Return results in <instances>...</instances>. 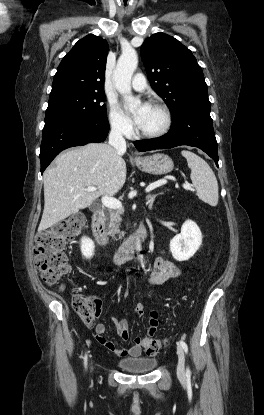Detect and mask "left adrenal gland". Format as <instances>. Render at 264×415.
Instances as JSON below:
<instances>
[{"label": "left adrenal gland", "instance_id": "1", "mask_svg": "<svg viewBox=\"0 0 264 415\" xmlns=\"http://www.w3.org/2000/svg\"><path fill=\"white\" fill-rule=\"evenodd\" d=\"M159 194H161V193H158V194H155V195H147V197H146V199H147V203L146 204H148V208H149V210H152V206H153V203H154V201H155V198L159 195Z\"/></svg>", "mask_w": 264, "mask_h": 415}]
</instances>
